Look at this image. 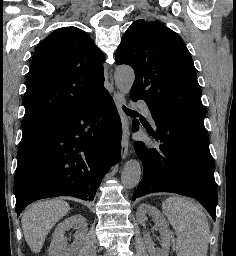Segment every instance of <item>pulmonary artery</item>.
<instances>
[{
	"label": "pulmonary artery",
	"mask_w": 236,
	"mask_h": 256,
	"mask_svg": "<svg viewBox=\"0 0 236 256\" xmlns=\"http://www.w3.org/2000/svg\"><path fill=\"white\" fill-rule=\"evenodd\" d=\"M134 105H135V106H141L142 112H143L150 120H152V115H151V112H150V110H149V107H148L145 103L143 104L142 101H135V102H134Z\"/></svg>",
	"instance_id": "obj_1"
}]
</instances>
